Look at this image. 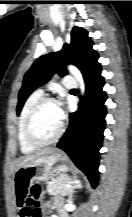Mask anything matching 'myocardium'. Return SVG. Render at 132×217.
Segmentation results:
<instances>
[{"label":"myocardium","instance_id":"myocardium-1","mask_svg":"<svg viewBox=\"0 0 132 217\" xmlns=\"http://www.w3.org/2000/svg\"><path fill=\"white\" fill-rule=\"evenodd\" d=\"M47 104H55V100L50 97L41 98L31 109L26 119V122H25V128H24L25 138L30 145L36 148L46 147V146L54 144L60 139V137L62 136L64 132V122L61 121L59 130L53 138L47 141H41L35 136L33 132L34 119L37 116L38 112Z\"/></svg>","mask_w":132,"mask_h":217}]
</instances>
